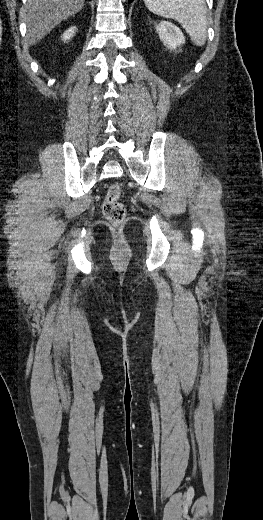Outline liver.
Returning <instances> with one entry per match:
<instances>
[{"instance_id":"6515ba94","label":"liver","mask_w":263,"mask_h":520,"mask_svg":"<svg viewBox=\"0 0 263 520\" xmlns=\"http://www.w3.org/2000/svg\"><path fill=\"white\" fill-rule=\"evenodd\" d=\"M84 0H27L24 9L27 45L44 38L62 21L78 13Z\"/></svg>"}]
</instances>
